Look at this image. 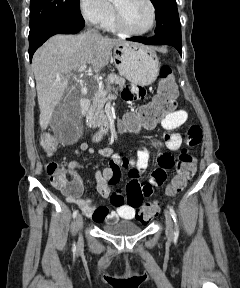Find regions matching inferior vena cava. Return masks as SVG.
Returning a JSON list of instances; mask_svg holds the SVG:
<instances>
[{
  "label": "inferior vena cava",
  "mask_w": 240,
  "mask_h": 288,
  "mask_svg": "<svg viewBox=\"0 0 240 288\" xmlns=\"http://www.w3.org/2000/svg\"><path fill=\"white\" fill-rule=\"evenodd\" d=\"M93 34H94L95 36H99V34H98L95 30H93Z\"/></svg>",
  "instance_id": "obj_1"
}]
</instances>
